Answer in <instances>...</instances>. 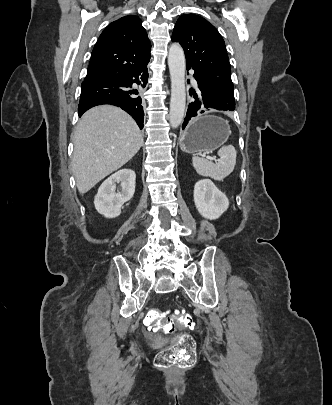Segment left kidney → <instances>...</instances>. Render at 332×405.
<instances>
[{
  "label": "left kidney",
  "instance_id": "1",
  "mask_svg": "<svg viewBox=\"0 0 332 405\" xmlns=\"http://www.w3.org/2000/svg\"><path fill=\"white\" fill-rule=\"evenodd\" d=\"M194 203L199 214L218 219L229 207V200L210 180H199L194 186Z\"/></svg>",
  "mask_w": 332,
  "mask_h": 405
}]
</instances>
